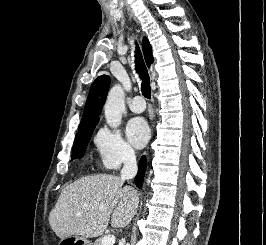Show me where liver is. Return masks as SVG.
<instances>
[{"mask_svg":"<svg viewBox=\"0 0 266 245\" xmlns=\"http://www.w3.org/2000/svg\"><path fill=\"white\" fill-rule=\"evenodd\" d=\"M123 183L114 175H93L66 185L49 215L52 231L59 239L72 235L93 239L106 231L110 215L111 227H127L137 213L139 197Z\"/></svg>","mask_w":266,"mask_h":245,"instance_id":"1","label":"liver"}]
</instances>
